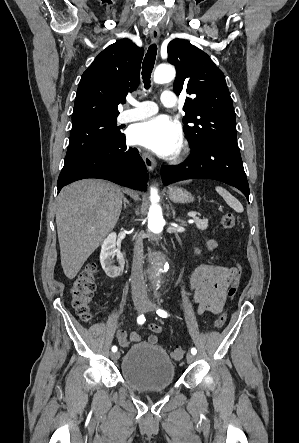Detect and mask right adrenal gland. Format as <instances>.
Instances as JSON below:
<instances>
[{
  "mask_svg": "<svg viewBox=\"0 0 299 443\" xmlns=\"http://www.w3.org/2000/svg\"><path fill=\"white\" fill-rule=\"evenodd\" d=\"M129 204V201L127 198L123 195V209L125 210L127 208V205Z\"/></svg>",
  "mask_w": 299,
  "mask_h": 443,
  "instance_id": "2a0ac1e0",
  "label": "right adrenal gland"
}]
</instances>
